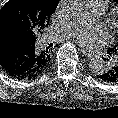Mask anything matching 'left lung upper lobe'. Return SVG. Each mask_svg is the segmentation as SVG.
<instances>
[{
    "label": "left lung upper lobe",
    "mask_w": 118,
    "mask_h": 118,
    "mask_svg": "<svg viewBox=\"0 0 118 118\" xmlns=\"http://www.w3.org/2000/svg\"><path fill=\"white\" fill-rule=\"evenodd\" d=\"M113 1H115L118 4V0H113ZM108 54H110V55L114 54V55L118 56V46H114L113 48H110L108 50Z\"/></svg>",
    "instance_id": "left-lung-upper-lobe-1"
}]
</instances>
